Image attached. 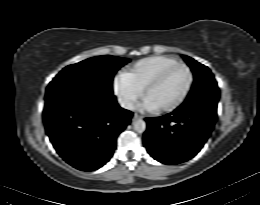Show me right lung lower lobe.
<instances>
[{"instance_id":"98d812e1","label":"right lung lower lobe","mask_w":260,"mask_h":205,"mask_svg":"<svg viewBox=\"0 0 260 205\" xmlns=\"http://www.w3.org/2000/svg\"><path fill=\"white\" fill-rule=\"evenodd\" d=\"M45 101L46 133L57 153L82 171L109 161L117 136L133 115L117 104L113 94L81 83H50Z\"/></svg>"}]
</instances>
